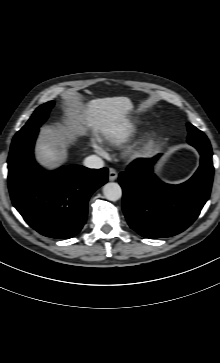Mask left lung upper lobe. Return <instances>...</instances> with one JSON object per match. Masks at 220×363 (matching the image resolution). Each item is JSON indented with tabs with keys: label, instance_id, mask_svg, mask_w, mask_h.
<instances>
[{
	"label": "left lung upper lobe",
	"instance_id": "obj_1",
	"mask_svg": "<svg viewBox=\"0 0 220 363\" xmlns=\"http://www.w3.org/2000/svg\"><path fill=\"white\" fill-rule=\"evenodd\" d=\"M188 141H197V142H209L206 135L194 127L192 124L188 123Z\"/></svg>",
	"mask_w": 220,
	"mask_h": 363
}]
</instances>
